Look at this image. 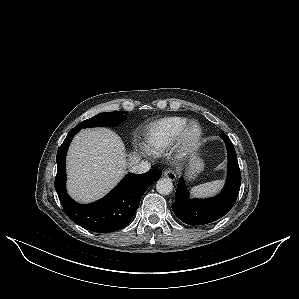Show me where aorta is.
I'll return each mask as SVG.
<instances>
[{
	"instance_id": "762f6f07",
	"label": "aorta",
	"mask_w": 299,
	"mask_h": 299,
	"mask_svg": "<svg viewBox=\"0 0 299 299\" xmlns=\"http://www.w3.org/2000/svg\"><path fill=\"white\" fill-rule=\"evenodd\" d=\"M156 190L161 195H169L173 191V183L169 178H161L156 183Z\"/></svg>"
}]
</instances>
